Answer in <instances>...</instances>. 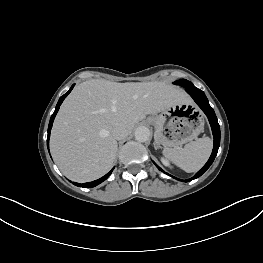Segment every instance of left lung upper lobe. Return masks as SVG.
<instances>
[{
    "label": "left lung upper lobe",
    "instance_id": "left-lung-upper-lobe-1",
    "mask_svg": "<svg viewBox=\"0 0 263 263\" xmlns=\"http://www.w3.org/2000/svg\"><path fill=\"white\" fill-rule=\"evenodd\" d=\"M174 84L181 85L183 87H193L194 86L190 81L185 80V79L178 80V81L174 82Z\"/></svg>",
    "mask_w": 263,
    "mask_h": 263
}]
</instances>
